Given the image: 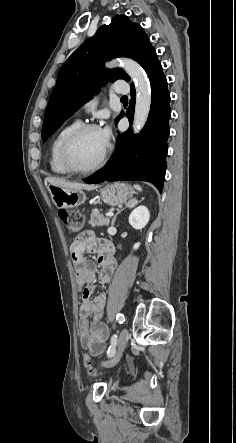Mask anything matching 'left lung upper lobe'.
<instances>
[{"label":"left lung upper lobe","instance_id":"1","mask_svg":"<svg viewBox=\"0 0 236 443\" xmlns=\"http://www.w3.org/2000/svg\"><path fill=\"white\" fill-rule=\"evenodd\" d=\"M152 49L142 27L125 15H116L109 25L101 26L61 67L46 108L42 137L53 134L108 81L130 80L120 68L106 69L105 61L124 56L143 66Z\"/></svg>","mask_w":236,"mask_h":443}]
</instances>
